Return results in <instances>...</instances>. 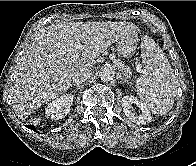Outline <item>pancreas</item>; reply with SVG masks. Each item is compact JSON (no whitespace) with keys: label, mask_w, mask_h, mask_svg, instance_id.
Returning <instances> with one entry per match:
<instances>
[{"label":"pancreas","mask_w":196,"mask_h":166,"mask_svg":"<svg viewBox=\"0 0 196 166\" xmlns=\"http://www.w3.org/2000/svg\"><path fill=\"white\" fill-rule=\"evenodd\" d=\"M119 69L120 71L122 72V74L126 77V78H129L130 75H131V71H130V68L125 66L124 64H121L119 66Z\"/></svg>","instance_id":"cf45deb5"}]
</instances>
